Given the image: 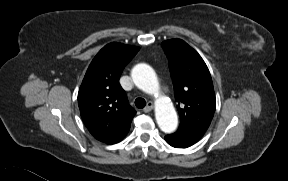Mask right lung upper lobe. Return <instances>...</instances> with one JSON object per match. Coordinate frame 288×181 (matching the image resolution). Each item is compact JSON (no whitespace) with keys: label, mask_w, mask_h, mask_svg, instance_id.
I'll list each match as a JSON object with an SVG mask.
<instances>
[{"label":"right lung upper lobe","mask_w":288,"mask_h":181,"mask_svg":"<svg viewBox=\"0 0 288 181\" xmlns=\"http://www.w3.org/2000/svg\"><path fill=\"white\" fill-rule=\"evenodd\" d=\"M138 51L136 46L107 44L92 60L79 89L78 104L84 124L97 140L107 144L126 136L136 114L119 78Z\"/></svg>","instance_id":"obj_1"}]
</instances>
